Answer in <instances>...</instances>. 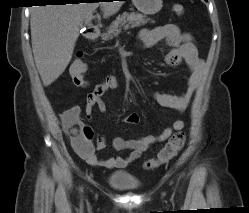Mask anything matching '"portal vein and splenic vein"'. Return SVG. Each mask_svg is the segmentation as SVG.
I'll list each match as a JSON object with an SVG mask.
<instances>
[{"label": "portal vein and splenic vein", "mask_w": 249, "mask_h": 213, "mask_svg": "<svg viewBox=\"0 0 249 213\" xmlns=\"http://www.w3.org/2000/svg\"><path fill=\"white\" fill-rule=\"evenodd\" d=\"M92 15H90V16H88L86 19H85V23L86 24H90L91 23V21H92Z\"/></svg>", "instance_id": "portal-vein-and-splenic-vein-1"}]
</instances>
